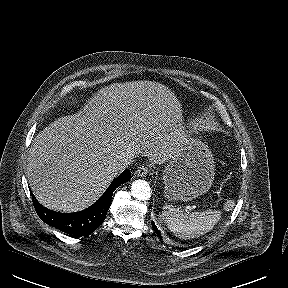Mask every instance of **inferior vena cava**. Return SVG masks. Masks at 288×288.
I'll use <instances>...</instances> for the list:
<instances>
[{"label":"inferior vena cava","instance_id":"1","mask_svg":"<svg viewBox=\"0 0 288 288\" xmlns=\"http://www.w3.org/2000/svg\"><path fill=\"white\" fill-rule=\"evenodd\" d=\"M132 161V156L129 154H122L118 156L116 159L113 160V162L110 164L109 169L111 173L118 174L125 170L128 165Z\"/></svg>","mask_w":288,"mask_h":288}]
</instances>
